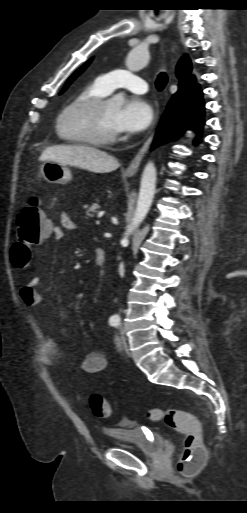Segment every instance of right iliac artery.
Segmentation results:
<instances>
[{"mask_svg":"<svg viewBox=\"0 0 247 513\" xmlns=\"http://www.w3.org/2000/svg\"><path fill=\"white\" fill-rule=\"evenodd\" d=\"M119 324V319H111L110 320V325L111 326H117Z\"/></svg>","mask_w":247,"mask_h":513,"instance_id":"obj_1","label":"right iliac artery"}]
</instances>
